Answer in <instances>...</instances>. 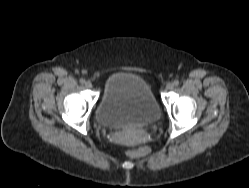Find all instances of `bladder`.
I'll use <instances>...</instances> for the list:
<instances>
[{
	"instance_id": "bladder-1",
	"label": "bladder",
	"mask_w": 249,
	"mask_h": 188,
	"mask_svg": "<svg viewBox=\"0 0 249 188\" xmlns=\"http://www.w3.org/2000/svg\"><path fill=\"white\" fill-rule=\"evenodd\" d=\"M100 125L108 128L147 126L160 118V108L150 84L126 72L110 75L96 111Z\"/></svg>"
}]
</instances>
